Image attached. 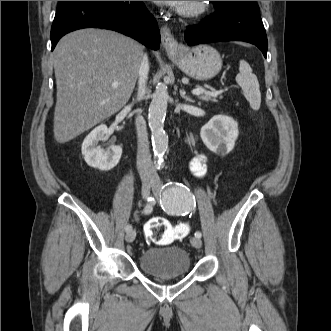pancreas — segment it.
I'll list each match as a JSON object with an SVG mask.
<instances>
[{
  "instance_id": "pancreas-1",
  "label": "pancreas",
  "mask_w": 331,
  "mask_h": 331,
  "mask_svg": "<svg viewBox=\"0 0 331 331\" xmlns=\"http://www.w3.org/2000/svg\"><path fill=\"white\" fill-rule=\"evenodd\" d=\"M199 99L200 100H203V101H212V102H218L217 99L215 98V96H211L209 94H202L199 96Z\"/></svg>"
}]
</instances>
